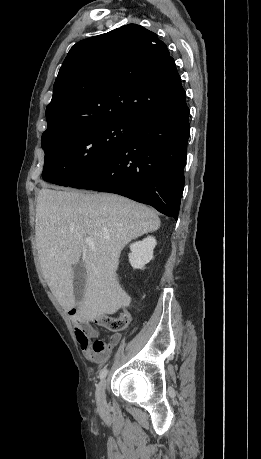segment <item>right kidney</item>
<instances>
[{
    "label": "right kidney",
    "instance_id": "right-kidney-1",
    "mask_svg": "<svg viewBox=\"0 0 261 459\" xmlns=\"http://www.w3.org/2000/svg\"><path fill=\"white\" fill-rule=\"evenodd\" d=\"M156 244V239L152 236L131 244V253L129 254L131 266L134 269H144V266L153 259V250Z\"/></svg>",
    "mask_w": 261,
    "mask_h": 459
}]
</instances>
